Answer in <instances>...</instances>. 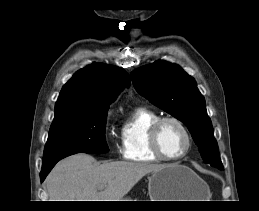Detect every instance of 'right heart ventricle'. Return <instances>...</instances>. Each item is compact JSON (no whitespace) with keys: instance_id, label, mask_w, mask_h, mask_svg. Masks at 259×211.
<instances>
[{"instance_id":"e07e8e85","label":"right heart ventricle","mask_w":259,"mask_h":211,"mask_svg":"<svg viewBox=\"0 0 259 211\" xmlns=\"http://www.w3.org/2000/svg\"><path fill=\"white\" fill-rule=\"evenodd\" d=\"M160 115L147 107H137L121 126L122 155L134 162H153L160 158L150 146V130Z\"/></svg>"}]
</instances>
